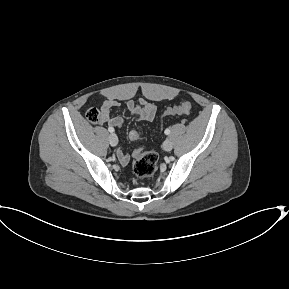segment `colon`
Here are the masks:
<instances>
[{
	"label": "colon",
	"mask_w": 289,
	"mask_h": 289,
	"mask_svg": "<svg viewBox=\"0 0 289 289\" xmlns=\"http://www.w3.org/2000/svg\"><path fill=\"white\" fill-rule=\"evenodd\" d=\"M192 104L189 101H184L179 105L168 107L165 115L187 114L191 111ZM87 119L92 123H100L103 120V113L100 109L90 108L86 112ZM143 134L140 129H135L130 133L132 141H140ZM158 155L154 151H140L136 152V157L133 162L134 173L141 178H148L155 174L157 170Z\"/></svg>",
	"instance_id": "1"
}]
</instances>
